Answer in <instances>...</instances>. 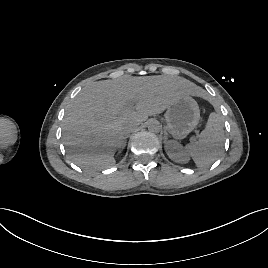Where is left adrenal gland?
<instances>
[{
    "mask_svg": "<svg viewBox=\"0 0 268 268\" xmlns=\"http://www.w3.org/2000/svg\"><path fill=\"white\" fill-rule=\"evenodd\" d=\"M164 140H165V142L167 140V132L166 131H165V134H164Z\"/></svg>",
    "mask_w": 268,
    "mask_h": 268,
    "instance_id": "1",
    "label": "left adrenal gland"
}]
</instances>
